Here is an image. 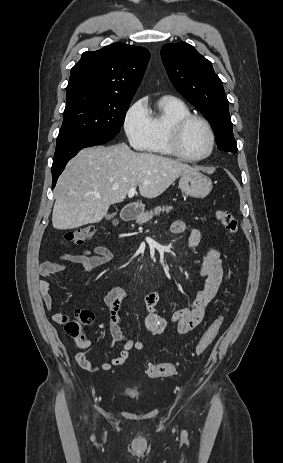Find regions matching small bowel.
I'll list each match as a JSON object with an SVG mask.
<instances>
[{
    "mask_svg": "<svg viewBox=\"0 0 283 463\" xmlns=\"http://www.w3.org/2000/svg\"><path fill=\"white\" fill-rule=\"evenodd\" d=\"M171 232L175 235L188 234V246L195 251L201 242V232L185 222L177 220L171 225ZM94 254L84 251L81 254L63 253L59 261H44L39 269L38 291L44 306L48 310L54 309V301L49 292L50 283L45 279L46 276L66 271L70 265L79 266L86 273H90L100 266L110 262L113 258L112 252L103 245H97L93 249ZM198 275L205 279L204 285L199 290L190 307L179 309L175 312L173 319L168 321L158 311L157 305L160 301L159 291H151L144 297V305L147 311L146 326L153 336H164L171 325L175 326L178 334H186L198 326L202 321L211 301L216 296L223 280L224 271L219 251L211 247L204 257L199 269ZM129 297V293L122 287L113 288L104 298V305L110 315V335L112 344L121 342L123 349L119 355L95 365L83 352H78L75 359L81 368L88 372L109 371L113 367L120 366L129 357L132 349L141 350L143 342L136 340L133 331L125 334L122 329V302ZM52 318L56 322L63 320L61 313L55 312ZM80 349H87L89 342H78Z\"/></svg>",
    "mask_w": 283,
    "mask_h": 463,
    "instance_id": "1",
    "label": "small bowel"
}]
</instances>
